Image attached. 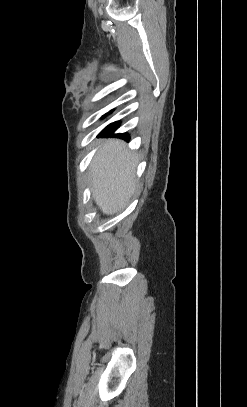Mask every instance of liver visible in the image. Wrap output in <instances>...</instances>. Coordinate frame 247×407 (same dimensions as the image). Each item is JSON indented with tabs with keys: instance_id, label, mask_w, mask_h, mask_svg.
Listing matches in <instances>:
<instances>
[{
	"instance_id": "obj_1",
	"label": "liver",
	"mask_w": 247,
	"mask_h": 407,
	"mask_svg": "<svg viewBox=\"0 0 247 407\" xmlns=\"http://www.w3.org/2000/svg\"><path fill=\"white\" fill-rule=\"evenodd\" d=\"M126 144L112 140L104 145L91 163L93 198L107 215L121 211L134 193L137 157L125 150Z\"/></svg>"
}]
</instances>
